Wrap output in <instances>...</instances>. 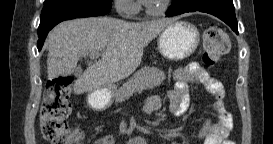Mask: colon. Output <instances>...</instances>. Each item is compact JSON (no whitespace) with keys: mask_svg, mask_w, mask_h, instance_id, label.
<instances>
[{"mask_svg":"<svg viewBox=\"0 0 273 144\" xmlns=\"http://www.w3.org/2000/svg\"><path fill=\"white\" fill-rule=\"evenodd\" d=\"M203 61L212 66L229 50V39L225 31L216 24H209L204 30ZM72 79L59 77L48 83L40 113V129L43 138L53 144H75L81 140V132L71 129L67 119L71 114L68 95Z\"/></svg>","mask_w":273,"mask_h":144,"instance_id":"1","label":"colon"}]
</instances>
